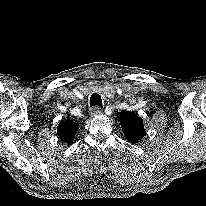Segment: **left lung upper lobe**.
I'll use <instances>...</instances> for the list:
<instances>
[{
	"mask_svg": "<svg viewBox=\"0 0 206 206\" xmlns=\"http://www.w3.org/2000/svg\"><path fill=\"white\" fill-rule=\"evenodd\" d=\"M124 135L131 143H136L145 136L143 120L132 113L121 111L117 112Z\"/></svg>",
	"mask_w": 206,
	"mask_h": 206,
	"instance_id": "1",
	"label": "left lung upper lobe"
}]
</instances>
